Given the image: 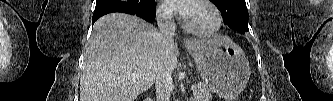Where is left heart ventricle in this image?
<instances>
[{
	"label": "left heart ventricle",
	"mask_w": 333,
	"mask_h": 101,
	"mask_svg": "<svg viewBox=\"0 0 333 101\" xmlns=\"http://www.w3.org/2000/svg\"><path fill=\"white\" fill-rule=\"evenodd\" d=\"M184 17L188 24L196 29H209L215 23V16L211 9L197 2L190 3L188 12Z\"/></svg>",
	"instance_id": "obj_1"
}]
</instances>
